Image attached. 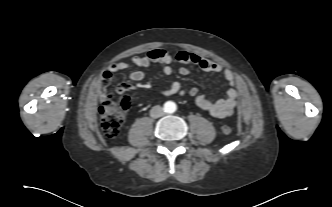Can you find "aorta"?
<instances>
[{
  "label": "aorta",
  "mask_w": 332,
  "mask_h": 207,
  "mask_svg": "<svg viewBox=\"0 0 332 207\" xmlns=\"http://www.w3.org/2000/svg\"><path fill=\"white\" fill-rule=\"evenodd\" d=\"M164 109L167 113H173L176 110V104L172 101H168L164 104Z\"/></svg>",
  "instance_id": "1"
}]
</instances>
